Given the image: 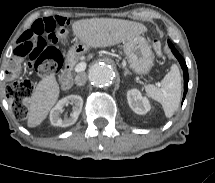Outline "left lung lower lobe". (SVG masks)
Segmentation results:
<instances>
[{
    "mask_svg": "<svg viewBox=\"0 0 215 183\" xmlns=\"http://www.w3.org/2000/svg\"><path fill=\"white\" fill-rule=\"evenodd\" d=\"M168 45L171 48L173 54L175 55V57L178 59L181 68L184 71V97H183V101L185 98V95L187 93L188 90V81H189V77H188V69L185 63V60L183 59V57L178 53V51L174 48L173 44L168 40Z\"/></svg>",
    "mask_w": 215,
    "mask_h": 183,
    "instance_id": "1",
    "label": "left lung lower lobe"
}]
</instances>
